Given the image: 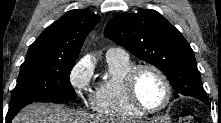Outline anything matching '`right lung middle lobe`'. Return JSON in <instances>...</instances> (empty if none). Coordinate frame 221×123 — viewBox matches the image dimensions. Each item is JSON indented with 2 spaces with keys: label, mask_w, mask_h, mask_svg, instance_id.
I'll use <instances>...</instances> for the list:
<instances>
[{
  "label": "right lung middle lobe",
  "mask_w": 221,
  "mask_h": 123,
  "mask_svg": "<svg viewBox=\"0 0 221 123\" xmlns=\"http://www.w3.org/2000/svg\"><path fill=\"white\" fill-rule=\"evenodd\" d=\"M77 58L26 56L12 90L8 114H17L32 102L76 98L69 74Z\"/></svg>",
  "instance_id": "right-lung-middle-lobe-1"
}]
</instances>
